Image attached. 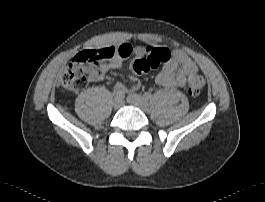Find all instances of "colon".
Masks as SVG:
<instances>
[{"instance_id":"5ec220e1","label":"colon","mask_w":265,"mask_h":202,"mask_svg":"<svg viewBox=\"0 0 265 202\" xmlns=\"http://www.w3.org/2000/svg\"><path fill=\"white\" fill-rule=\"evenodd\" d=\"M114 52L110 48H91L78 52L73 61L69 63L59 77V85L69 90H81L87 86V79L83 66L112 58ZM171 53L167 48H148L142 57L132 64V74L136 77L158 67L161 63L170 59ZM205 84L204 78L193 72L188 77L187 91L189 95L196 97L201 94Z\"/></svg>"}]
</instances>
